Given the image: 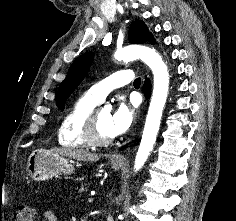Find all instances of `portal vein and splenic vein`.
Here are the masks:
<instances>
[{"mask_svg": "<svg viewBox=\"0 0 236 221\" xmlns=\"http://www.w3.org/2000/svg\"><path fill=\"white\" fill-rule=\"evenodd\" d=\"M94 201V199L92 197L88 198V202L92 203Z\"/></svg>", "mask_w": 236, "mask_h": 221, "instance_id": "obj_1", "label": "portal vein and splenic vein"}]
</instances>
